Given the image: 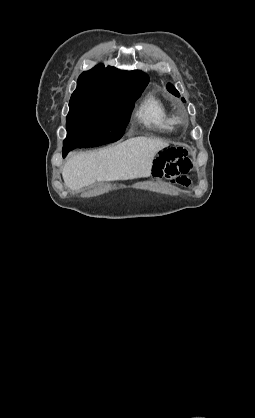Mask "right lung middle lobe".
I'll return each mask as SVG.
<instances>
[{
    "label": "right lung middle lobe",
    "instance_id": "1",
    "mask_svg": "<svg viewBox=\"0 0 255 418\" xmlns=\"http://www.w3.org/2000/svg\"><path fill=\"white\" fill-rule=\"evenodd\" d=\"M145 87L131 92L73 93L63 147H95L119 140Z\"/></svg>",
    "mask_w": 255,
    "mask_h": 418
}]
</instances>
